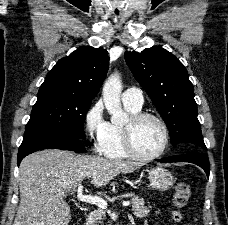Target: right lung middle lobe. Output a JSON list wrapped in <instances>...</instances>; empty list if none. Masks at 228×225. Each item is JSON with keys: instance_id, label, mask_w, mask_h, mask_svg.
I'll return each mask as SVG.
<instances>
[{"instance_id": "1", "label": "right lung middle lobe", "mask_w": 228, "mask_h": 225, "mask_svg": "<svg viewBox=\"0 0 228 225\" xmlns=\"http://www.w3.org/2000/svg\"><path fill=\"white\" fill-rule=\"evenodd\" d=\"M92 99L61 88H40L25 133L57 130L85 139L84 119Z\"/></svg>"}]
</instances>
